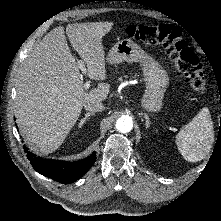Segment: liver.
<instances>
[{"label":"liver","instance_id":"liver-1","mask_svg":"<svg viewBox=\"0 0 221 221\" xmlns=\"http://www.w3.org/2000/svg\"><path fill=\"white\" fill-rule=\"evenodd\" d=\"M112 22L68 24L51 30L23 61L16 82L15 116L20 132L35 151L50 153L60 147L90 100L103 101L110 86L99 83L86 91L78 62L65 33L93 80H105L103 37Z\"/></svg>","mask_w":221,"mask_h":221}]
</instances>
